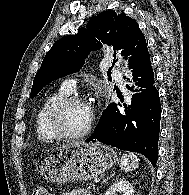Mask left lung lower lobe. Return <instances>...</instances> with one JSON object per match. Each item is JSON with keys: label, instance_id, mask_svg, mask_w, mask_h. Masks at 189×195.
Instances as JSON below:
<instances>
[{"label": "left lung lower lobe", "instance_id": "left-lung-lower-lobe-1", "mask_svg": "<svg viewBox=\"0 0 189 195\" xmlns=\"http://www.w3.org/2000/svg\"><path fill=\"white\" fill-rule=\"evenodd\" d=\"M132 86L129 100L109 104L91 137L122 150L143 154L155 167L160 132L161 105L150 58L124 77Z\"/></svg>", "mask_w": 189, "mask_h": 195}]
</instances>
